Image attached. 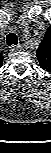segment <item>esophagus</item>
Here are the masks:
<instances>
[{
    "label": "esophagus",
    "mask_w": 51,
    "mask_h": 153,
    "mask_svg": "<svg viewBox=\"0 0 51 153\" xmlns=\"http://www.w3.org/2000/svg\"><path fill=\"white\" fill-rule=\"evenodd\" d=\"M18 50H21V46L19 44L13 46L12 49H11V51H18Z\"/></svg>",
    "instance_id": "34e87169"
}]
</instances>
